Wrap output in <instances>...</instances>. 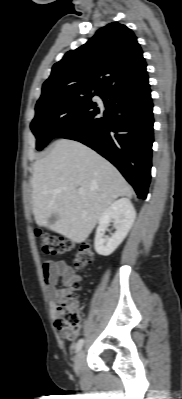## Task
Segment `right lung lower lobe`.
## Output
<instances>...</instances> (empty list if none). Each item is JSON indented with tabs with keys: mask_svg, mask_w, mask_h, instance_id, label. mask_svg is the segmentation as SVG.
Wrapping results in <instances>:
<instances>
[{
	"mask_svg": "<svg viewBox=\"0 0 182 399\" xmlns=\"http://www.w3.org/2000/svg\"><path fill=\"white\" fill-rule=\"evenodd\" d=\"M106 106L80 127L57 137L79 141L108 159L145 199L150 183L153 104L148 76L114 86L102 96Z\"/></svg>",
	"mask_w": 182,
	"mask_h": 399,
	"instance_id": "obj_1",
	"label": "right lung lower lobe"
}]
</instances>
